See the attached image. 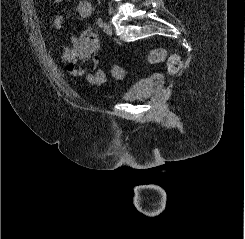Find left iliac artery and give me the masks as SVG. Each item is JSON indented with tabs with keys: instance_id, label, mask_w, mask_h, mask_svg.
Wrapping results in <instances>:
<instances>
[{
	"instance_id": "44dca946",
	"label": "left iliac artery",
	"mask_w": 245,
	"mask_h": 239,
	"mask_svg": "<svg viewBox=\"0 0 245 239\" xmlns=\"http://www.w3.org/2000/svg\"><path fill=\"white\" fill-rule=\"evenodd\" d=\"M97 25L99 27H102L103 26V19L101 17H98V19H97Z\"/></svg>"
}]
</instances>
